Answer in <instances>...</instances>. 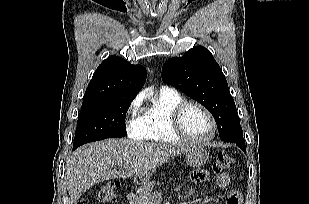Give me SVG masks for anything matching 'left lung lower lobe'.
Returning a JSON list of instances; mask_svg holds the SVG:
<instances>
[{"label": "left lung lower lobe", "mask_w": 309, "mask_h": 204, "mask_svg": "<svg viewBox=\"0 0 309 204\" xmlns=\"http://www.w3.org/2000/svg\"><path fill=\"white\" fill-rule=\"evenodd\" d=\"M233 143H236L237 146H239L243 151H245V141L244 139L236 140Z\"/></svg>", "instance_id": "1"}]
</instances>
